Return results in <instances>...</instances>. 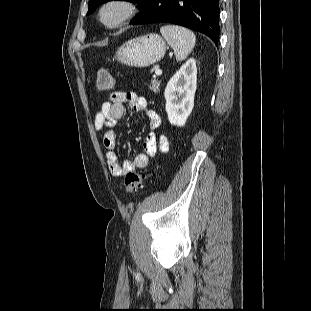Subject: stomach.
<instances>
[{"mask_svg":"<svg viewBox=\"0 0 311 311\" xmlns=\"http://www.w3.org/2000/svg\"><path fill=\"white\" fill-rule=\"evenodd\" d=\"M166 51L164 39L155 33L135 37L118 48L115 59L124 65L144 68L161 60Z\"/></svg>","mask_w":311,"mask_h":311,"instance_id":"0dacf381","label":"stomach"}]
</instances>
